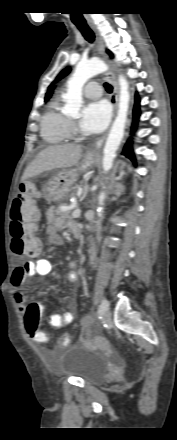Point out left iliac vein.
<instances>
[{"label": "left iliac vein", "mask_w": 177, "mask_h": 440, "mask_svg": "<svg viewBox=\"0 0 177 440\" xmlns=\"http://www.w3.org/2000/svg\"><path fill=\"white\" fill-rule=\"evenodd\" d=\"M102 321L105 324H108L111 321V312L109 310V308L107 307V309L102 313Z\"/></svg>", "instance_id": "left-iliac-vein-1"}]
</instances>
